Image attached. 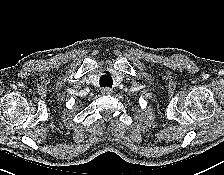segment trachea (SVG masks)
<instances>
[{"label":"trachea","mask_w":224,"mask_h":175,"mask_svg":"<svg viewBox=\"0 0 224 175\" xmlns=\"http://www.w3.org/2000/svg\"><path fill=\"white\" fill-rule=\"evenodd\" d=\"M113 80L110 75H103L100 78V86L101 87H112Z\"/></svg>","instance_id":"3493384b"}]
</instances>
